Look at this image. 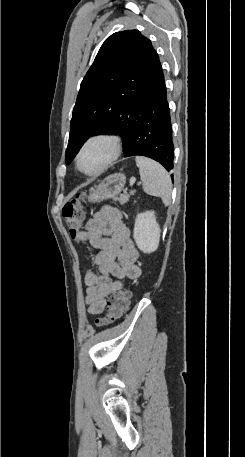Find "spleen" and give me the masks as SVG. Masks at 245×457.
<instances>
[{
	"instance_id": "spleen-1",
	"label": "spleen",
	"mask_w": 245,
	"mask_h": 457,
	"mask_svg": "<svg viewBox=\"0 0 245 457\" xmlns=\"http://www.w3.org/2000/svg\"><path fill=\"white\" fill-rule=\"evenodd\" d=\"M135 162L139 168L144 192L152 196H161L165 206H168L171 202L172 184L167 170L162 164L147 156H135Z\"/></svg>"
}]
</instances>
